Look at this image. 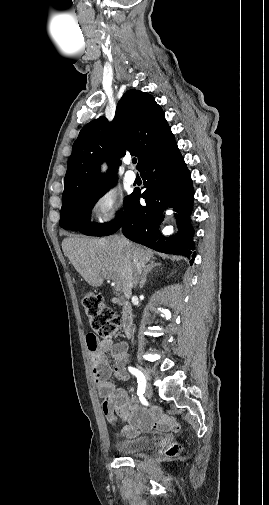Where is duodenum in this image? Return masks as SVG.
Returning <instances> with one entry per match:
<instances>
[{"mask_svg": "<svg viewBox=\"0 0 269 505\" xmlns=\"http://www.w3.org/2000/svg\"><path fill=\"white\" fill-rule=\"evenodd\" d=\"M117 302V301H115ZM121 319H122V331L126 338H129L133 326V310L132 306L128 302H121Z\"/></svg>", "mask_w": 269, "mask_h": 505, "instance_id": "duodenum-1", "label": "duodenum"}]
</instances>
